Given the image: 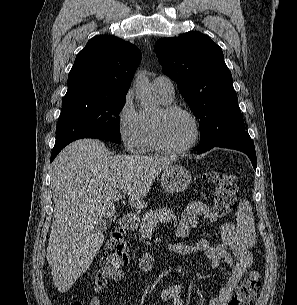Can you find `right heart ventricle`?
<instances>
[{
	"label": "right heart ventricle",
	"instance_id": "obj_1",
	"mask_svg": "<svg viewBox=\"0 0 297 305\" xmlns=\"http://www.w3.org/2000/svg\"><path fill=\"white\" fill-rule=\"evenodd\" d=\"M157 96L163 105H169L172 102V100H168L158 93H157ZM141 119H142V129H141V134H140V138H139L138 149L142 152H154L156 149L154 148V146L152 145V142H151L152 117H150L147 114L142 113Z\"/></svg>",
	"mask_w": 297,
	"mask_h": 305
}]
</instances>
